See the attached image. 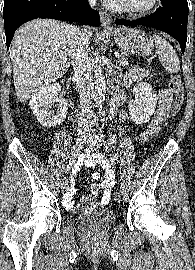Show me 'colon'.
<instances>
[{
    "label": "colon",
    "mask_w": 195,
    "mask_h": 270,
    "mask_svg": "<svg viewBox=\"0 0 195 270\" xmlns=\"http://www.w3.org/2000/svg\"><path fill=\"white\" fill-rule=\"evenodd\" d=\"M170 90L174 94V102L172 105L171 115L176 117L182 109L184 104V89L182 85V80L179 75H172L169 80ZM113 199L116 202L120 201V194L115 192Z\"/></svg>",
    "instance_id": "colon-1"
}]
</instances>
